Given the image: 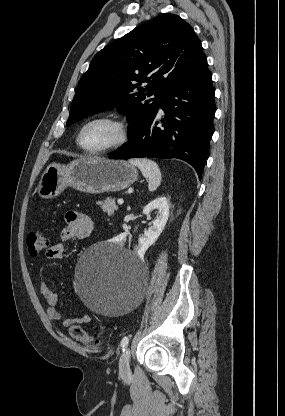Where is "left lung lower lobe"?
Instances as JSON below:
<instances>
[{"label": "left lung lower lobe", "mask_w": 285, "mask_h": 416, "mask_svg": "<svg viewBox=\"0 0 285 416\" xmlns=\"http://www.w3.org/2000/svg\"><path fill=\"white\" fill-rule=\"evenodd\" d=\"M214 96L204 55L163 98L159 106L166 113L162 128L156 127L158 108L153 118L109 158H178L189 163L201 179L213 131Z\"/></svg>", "instance_id": "1"}]
</instances>
